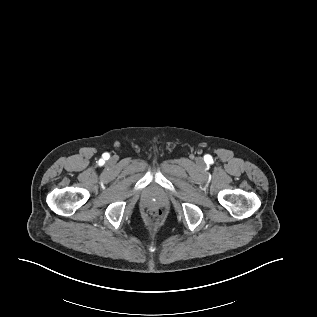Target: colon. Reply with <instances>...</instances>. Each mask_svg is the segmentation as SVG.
<instances>
[{
  "mask_svg": "<svg viewBox=\"0 0 317 317\" xmlns=\"http://www.w3.org/2000/svg\"><path fill=\"white\" fill-rule=\"evenodd\" d=\"M162 211L160 209H152L147 213V219L151 223H158L162 219Z\"/></svg>",
  "mask_w": 317,
  "mask_h": 317,
  "instance_id": "colon-1",
  "label": "colon"
}]
</instances>
